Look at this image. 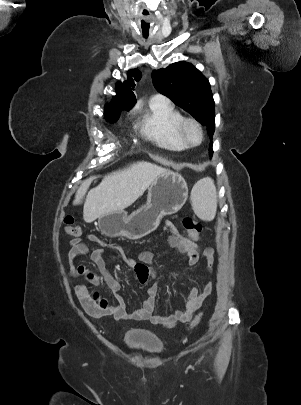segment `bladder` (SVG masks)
I'll return each instance as SVG.
<instances>
[{"label":"bladder","instance_id":"31cf9c89","mask_svg":"<svg viewBox=\"0 0 301 405\" xmlns=\"http://www.w3.org/2000/svg\"><path fill=\"white\" fill-rule=\"evenodd\" d=\"M124 343L131 350L156 354L162 351V342L153 332L133 328L124 335Z\"/></svg>","mask_w":301,"mask_h":405}]
</instances>
